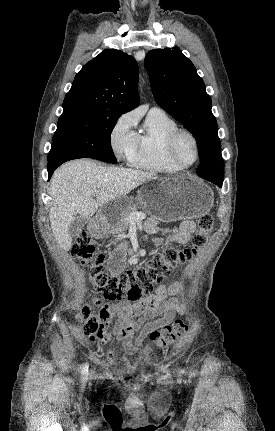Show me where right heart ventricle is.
<instances>
[{
    "label": "right heart ventricle",
    "instance_id": "e07e8e85",
    "mask_svg": "<svg viewBox=\"0 0 275 431\" xmlns=\"http://www.w3.org/2000/svg\"><path fill=\"white\" fill-rule=\"evenodd\" d=\"M178 124L159 108L147 113L141 130L137 133V150L133 166L155 173H174L179 170L167 157L166 144Z\"/></svg>",
    "mask_w": 275,
    "mask_h": 431
}]
</instances>
